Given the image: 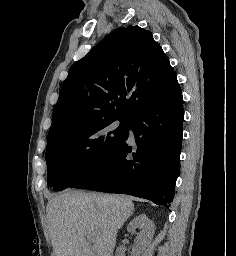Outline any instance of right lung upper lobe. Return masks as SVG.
Masks as SVG:
<instances>
[{"instance_id":"right-lung-upper-lobe-1","label":"right lung upper lobe","mask_w":236,"mask_h":256,"mask_svg":"<svg viewBox=\"0 0 236 256\" xmlns=\"http://www.w3.org/2000/svg\"><path fill=\"white\" fill-rule=\"evenodd\" d=\"M177 84L168 57L150 31L119 27L71 67L48 137L77 124L132 119L146 102Z\"/></svg>"}]
</instances>
